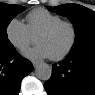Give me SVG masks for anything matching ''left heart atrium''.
Instances as JSON below:
<instances>
[{"mask_svg": "<svg viewBox=\"0 0 95 95\" xmlns=\"http://www.w3.org/2000/svg\"><path fill=\"white\" fill-rule=\"evenodd\" d=\"M24 55L30 59H42L51 56L49 50L43 44H37L36 46L25 50Z\"/></svg>", "mask_w": 95, "mask_h": 95, "instance_id": "1", "label": "left heart atrium"}]
</instances>
